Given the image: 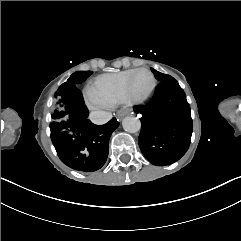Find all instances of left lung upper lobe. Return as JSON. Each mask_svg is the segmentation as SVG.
I'll return each instance as SVG.
<instances>
[{"label": "left lung upper lobe", "mask_w": 241, "mask_h": 241, "mask_svg": "<svg viewBox=\"0 0 241 241\" xmlns=\"http://www.w3.org/2000/svg\"><path fill=\"white\" fill-rule=\"evenodd\" d=\"M152 72L154 73L156 79H158L159 81H166V80H169L171 79L172 77L169 76V75H166V74H163V73H160L154 69H151Z\"/></svg>", "instance_id": "obj_1"}]
</instances>
